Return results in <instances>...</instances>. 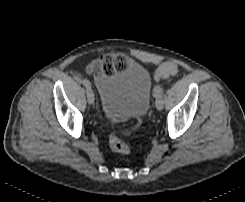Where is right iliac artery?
<instances>
[{"label":"right iliac artery","mask_w":245,"mask_h":202,"mask_svg":"<svg viewBox=\"0 0 245 202\" xmlns=\"http://www.w3.org/2000/svg\"><path fill=\"white\" fill-rule=\"evenodd\" d=\"M82 83H83V85H84L85 87H87V88H90V87H91V83H90L87 79H84V80L82 81Z\"/></svg>","instance_id":"right-iliac-artery-1"}]
</instances>
